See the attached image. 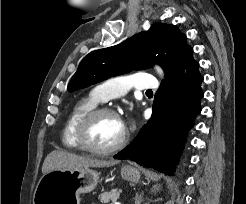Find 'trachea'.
I'll use <instances>...</instances> for the list:
<instances>
[{
  "label": "trachea",
  "instance_id": "obj_1",
  "mask_svg": "<svg viewBox=\"0 0 246 204\" xmlns=\"http://www.w3.org/2000/svg\"><path fill=\"white\" fill-rule=\"evenodd\" d=\"M146 93H152V90H147Z\"/></svg>",
  "mask_w": 246,
  "mask_h": 204
}]
</instances>
